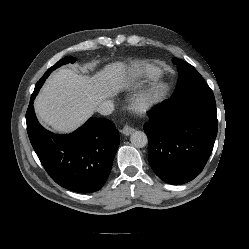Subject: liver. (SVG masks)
<instances>
[{"mask_svg":"<svg viewBox=\"0 0 249 249\" xmlns=\"http://www.w3.org/2000/svg\"><path fill=\"white\" fill-rule=\"evenodd\" d=\"M128 83L127 67L120 62L105 66L93 76L60 69L41 89L34 103L35 111L39 120L54 131L70 133Z\"/></svg>","mask_w":249,"mask_h":249,"instance_id":"liver-1","label":"liver"}]
</instances>
